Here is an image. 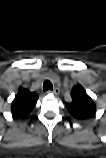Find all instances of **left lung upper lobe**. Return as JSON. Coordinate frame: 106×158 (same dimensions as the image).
<instances>
[{
    "instance_id": "left-lung-upper-lobe-1",
    "label": "left lung upper lobe",
    "mask_w": 106,
    "mask_h": 158,
    "mask_svg": "<svg viewBox=\"0 0 106 158\" xmlns=\"http://www.w3.org/2000/svg\"><path fill=\"white\" fill-rule=\"evenodd\" d=\"M71 97L72 101L65 106L73 117L85 120L94 116L96 105L81 85L73 87Z\"/></svg>"
}]
</instances>
